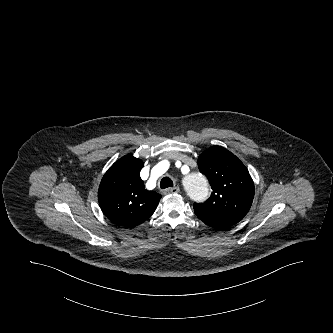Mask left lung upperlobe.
<instances>
[{
    "instance_id": "left-lung-upper-lobe-1",
    "label": "left lung upper lobe",
    "mask_w": 333,
    "mask_h": 333,
    "mask_svg": "<svg viewBox=\"0 0 333 333\" xmlns=\"http://www.w3.org/2000/svg\"><path fill=\"white\" fill-rule=\"evenodd\" d=\"M198 167L213 191L205 203L194 204L196 216L215 229L242 220L254 198V183L244 164L227 149L213 146L199 156Z\"/></svg>"
}]
</instances>
